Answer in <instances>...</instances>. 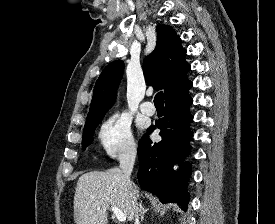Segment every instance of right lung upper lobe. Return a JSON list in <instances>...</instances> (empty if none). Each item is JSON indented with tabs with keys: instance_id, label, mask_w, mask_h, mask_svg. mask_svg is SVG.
Wrapping results in <instances>:
<instances>
[{
	"instance_id": "obj_1",
	"label": "right lung upper lobe",
	"mask_w": 275,
	"mask_h": 224,
	"mask_svg": "<svg viewBox=\"0 0 275 224\" xmlns=\"http://www.w3.org/2000/svg\"><path fill=\"white\" fill-rule=\"evenodd\" d=\"M186 50L172 27L157 26V43L154 51L144 59L143 70L148 85L164 89V96L184 84L188 79L190 65L185 61ZM124 63L114 61L100 74L87 116L88 125L104 117L115 101L117 86L122 78Z\"/></svg>"
}]
</instances>
